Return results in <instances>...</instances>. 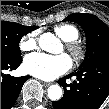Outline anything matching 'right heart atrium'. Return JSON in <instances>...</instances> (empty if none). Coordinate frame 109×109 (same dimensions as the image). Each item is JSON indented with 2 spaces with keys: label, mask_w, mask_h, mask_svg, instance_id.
Masks as SVG:
<instances>
[{
  "label": "right heart atrium",
  "mask_w": 109,
  "mask_h": 109,
  "mask_svg": "<svg viewBox=\"0 0 109 109\" xmlns=\"http://www.w3.org/2000/svg\"><path fill=\"white\" fill-rule=\"evenodd\" d=\"M38 38L34 33H29L23 36L19 43V48L21 51H31L37 47Z\"/></svg>",
  "instance_id": "obj_1"
}]
</instances>
